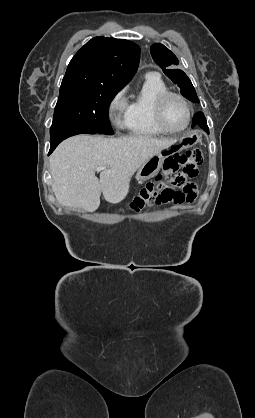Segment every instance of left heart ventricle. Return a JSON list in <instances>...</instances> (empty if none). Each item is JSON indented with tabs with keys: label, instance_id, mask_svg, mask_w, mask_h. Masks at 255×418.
Masks as SVG:
<instances>
[{
	"label": "left heart ventricle",
	"instance_id": "obj_1",
	"mask_svg": "<svg viewBox=\"0 0 255 418\" xmlns=\"http://www.w3.org/2000/svg\"><path fill=\"white\" fill-rule=\"evenodd\" d=\"M164 120L168 127L172 129L182 128L187 121V109L177 98H170L164 109Z\"/></svg>",
	"mask_w": 255,
	"mask_h": 418
}]
</instances>
